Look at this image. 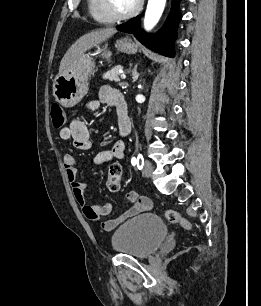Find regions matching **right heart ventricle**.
Here are the masks:
<instances>
[{
	"label": "right heart ventricle",
	"instance_id": "1",
	"mask_svg": "<svg viewBox=\"0 0 261 306\" xmlns=\"http://www.w3.org/2000/svg\"><path fill=\"white\" fill-rule=\"evenodd\" d=\"M90 16L99 23L108 24L113 20L106 14L102 6V0H87Z\"/></svg>",
	"mask_w": 261,
	"mask_h": 306
}]
</instances>
